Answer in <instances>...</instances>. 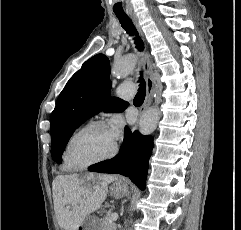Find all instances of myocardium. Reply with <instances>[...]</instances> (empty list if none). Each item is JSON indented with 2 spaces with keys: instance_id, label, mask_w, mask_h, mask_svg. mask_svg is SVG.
<instances>
[{
  "instance_id": "f54148a6",
  "label": "myocardium",
  "mask_w": 241,
  "mask_h": 230,
  "mask_svg": "<svg viewBox=\"0 0 241 230\" xmlns=\"http://www.w3.org/2000/svg\"><path fill=\"white\" fill-rule=\"evenodd\" d=\"M93 127H107L106 123L102 120H94V121H90L86 124H84L82 127H80L76 132L73 133V135L70 137V139L68 140L65 150H64V159L67 162V164L69 165V167L72 170H80V169H85L97 164H101V163H105L108 162L112 159H114L118 152H119V146L118 144L115 142L114 148L113 150L106 156L101 157L99 159H95L86 163H82V164H75L70 157V151H71V147L75 141V139L84 131L93 128Z\"/></svg>"
}]
</instances>
